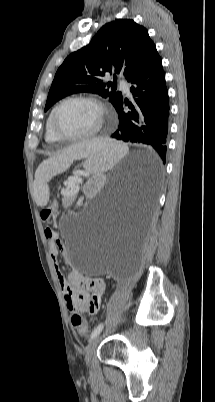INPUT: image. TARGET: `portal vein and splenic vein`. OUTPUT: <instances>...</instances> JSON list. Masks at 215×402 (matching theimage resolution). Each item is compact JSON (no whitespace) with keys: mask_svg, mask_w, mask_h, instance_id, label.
I'll return each mask as SVG.
<instances>
[{"mask_svg":"<svg viewBox=\"0 0 215 402\" xmlns=\"http://www.w3.org/2000/svg\"><path fill=\"white\" fill-rule=\"evenodd\" d=\"M77 181H78V182H82V180H81V179H78Z\"/></svg>","mask_w":215,"mask_h":402,"instance_id":"18ae733b","label":"portal vein and splenic vein"}]
</instances>
